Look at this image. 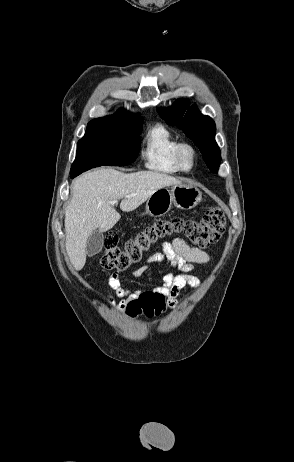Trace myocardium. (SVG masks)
I'll return each instance as SVG.
<instances>
[{"label": "myocardium", "mask_w": 294, "mask_h": 462, "mask_svg": "<svg viewBox=\"0 0 294 462\" xmlns=\"http://www.w3.org/2000/svg\"><path fill=\"white\" fill-rule=\"evenodd\" d=\"M186 152H189L191 158L189 166H186L184 162V155ZM175 159L181 171H191L197 162V151L195 147L190 143H180L176 149Z\"/></svg>", "instance_id": "obj_1"}]
</instances>
